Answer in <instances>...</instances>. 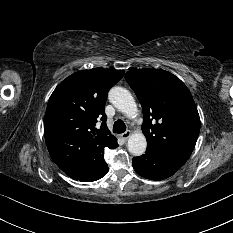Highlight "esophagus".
<instances>
[{"mask_svg":"<svg viewBox=\"0 0 233 233\" xmlns=\"http://www.w3.org/2000/svg\"><path fill=\"white\" fill-rule=\"evenodd\" d=\"M131 136V131L127 130L123 134H121L122 139L127 140Z\"/></svg>","mask_w":233,"mask_h":233,"instance_id":"1","label":"esophagus"}]
</instances>
